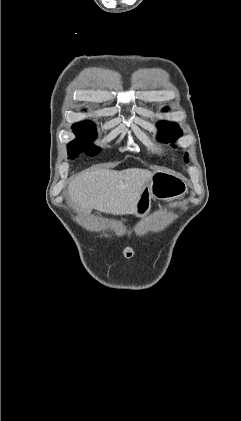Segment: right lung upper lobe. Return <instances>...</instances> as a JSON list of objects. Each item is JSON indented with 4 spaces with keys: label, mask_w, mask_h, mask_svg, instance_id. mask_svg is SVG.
Wrapping results in <instances>:
<instances>
[{
    "label": "right lung upper lobe",
    "mask_w": 241,
    "mask_h": 421,
    "mask_svg": "<svg viewBox=\"0 0 241 421\" xmlns=\"http://www.w3.org/2000/svg\"><path fill=\"white\" fill-rule=\"evenodd\" d=\"M91 124H93V123H91L89 121H84V122L75 123L73 126L84 127V126H88V125H91Z\"/></svg>",
    "instance_id": "obj_1"
}]
</instances>
